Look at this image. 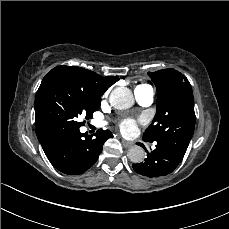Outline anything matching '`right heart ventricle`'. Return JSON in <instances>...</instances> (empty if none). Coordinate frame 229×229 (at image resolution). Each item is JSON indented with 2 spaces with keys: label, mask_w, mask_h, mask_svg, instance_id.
Returning <instances> with one entry per match:
<instances>
[{
  "label": "right heart ventricle",
  "mask_w": 229,
  "mask_h": 229,
  "mask_svg": "<svg viewBox=\"0 0 229 229\" xmlns=\"http://www.w3.org/2000/svg\"><path fill=\"white\" fill-rule=\"evenodd\" d=\"M142 85H144V84H142ZM142 85H138L137 87L142 86ZM137 87H136V88H137ZM136 88H135V89H136Z\"/></svg>",
  "instance_id": "obj_1"
}]
</instances>
